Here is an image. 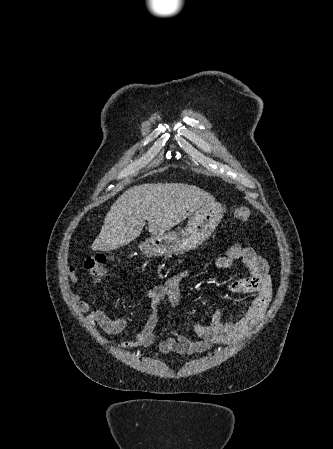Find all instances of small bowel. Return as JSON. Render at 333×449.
Listing matches in <instances>:
<instances>
[{
	"mask_svg": "<svg viewBox=\"0 0 333 449\" xmlns=\"http://www.w3.org/2000/svg\"><path fill=\"white\" fill-rule=\"evenodd\" d=\"M234 260H239L249 272L245 278H231L228 288L233 292L252 293L254 296L242 316L233 322L222 319L220 309L215 310L207 324L196 323L192 326L193 334L198 340H192L186 335L172 331L160 342L156 349L161 354L192 355L207 350L211 344H233L242 340L258 323L266 311L271 299V275L267 262L252 248L234 245L226 255L218 258L216 264L222 268H232ZM69 279L77 282L76 268H69ZM103 275V274H102ZM102 275H95L99 281ZM190 275L182 271L168 278L163 284L155 286L146 292L149 300V312L145 317L141 330L133 339L122 343L119 348L130 350L140 347H151L155 344L154 329L157 324L158 308L164 300L175 305L180 299V283ZM81 289L70 293L71 299L80 312L87 313V320L97 325L106 334L116 335L126 327L124 318L113 319L104 310H92L90 301L83 297Z\"/></svg>",
	"mask_w": 333,
	"mask_h": 449,
	"instance_id": "c3829d8e",
	"label": "small bowel"
}]
</instances>
